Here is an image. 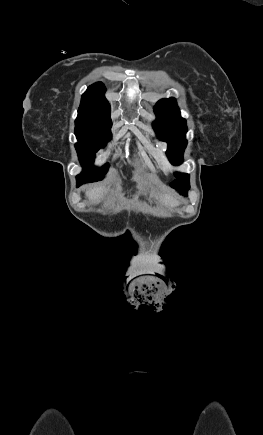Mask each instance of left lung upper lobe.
I'll list each match as a JSON object with an SVG mask.
<instances>
[{
  "label": "left lung upper lobe",
  "mask_w": 263,
  "mask_h": 435,
  "mask_svg": "<svg viewBox=\"0 0 263 435\" xmlns=\"http://www.w3.org/2000/svg\"><path fill=\"white\" fill-rule=\"evenodd\" d=\"M154 112L157 119L154 121L153 127L158 137L168 143L166 154L170 162L173 165H179L183 161L182 154L187 145L185 140L187 132L186 120L181 118L174 98L159 100L154 107ZM175 176L178 179L171 186L183 195H187L190 188L189 174L175 173Z\"/></svg>",
  "instance_id": "left-lung-upper-lobe-1"
}]
</instances>
